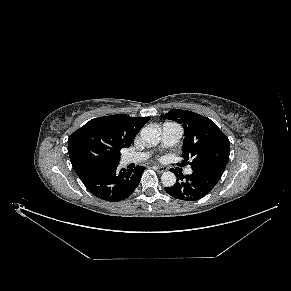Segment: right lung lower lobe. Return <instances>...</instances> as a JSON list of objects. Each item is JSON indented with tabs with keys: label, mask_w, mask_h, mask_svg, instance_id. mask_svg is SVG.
<instances>
[{
	"label": "right lung lower lobe",
	"mask_w": 291,
	"mask_h": 291,
	"mask_svg": "<svg viewBox=\"0 0 291 291\" xmlns=\"http://www.w3.org/2000/svg\"><path fill=\"white\" fill-rule=\"evenodd\" d=\"M118 163L95 161L76 169V173L86 188L96 197L117 202L129 197L138 186L145 169H119Z\"/></svg>",
	"instance_id": "98d812e1"
}]
</instances>
